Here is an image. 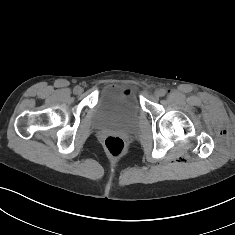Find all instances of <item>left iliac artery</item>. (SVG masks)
I'll list each match as a JSON object with an SVG mask.
<instances>
[{
  "label": "left iliac artery",
  "instance_id": "obj_1",
  "mask_svg": "<svg viewBox=\"0 0 235 235\" xmlns=\"http://www.w3.org/2000/svg\"><path fill=\"white\" fill-rule=\"evenodd\" d=\"M166 91L164 89H161V96H165Z\"/></svg>",
  "mask_w": 235,
  "mask_h": 235
}]
</instances>
